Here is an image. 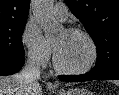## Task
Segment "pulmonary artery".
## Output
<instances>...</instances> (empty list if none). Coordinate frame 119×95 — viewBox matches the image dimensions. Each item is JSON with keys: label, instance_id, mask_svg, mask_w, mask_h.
<instances>
[{"label": "pulmonary artery", "instance_id": "e3ab8cb5", "mask_svg": "<svg viewBox=\"0 0 119 95\" xmlns=\"http://www.w3.org/2000/svg\"><path fill=\"white\" fill-rule=\"evenodd\" d=\"M53 14L59 20H65L68 17V9L64 3H56L53 7Z\"/></svg>", "mask_w": 119, "mask_h": 95}]
</instances>
